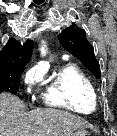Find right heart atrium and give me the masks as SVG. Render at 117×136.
Here are the masks:
<instances>
[{
	"label": "right heart atrium",
	"instance_id": "d8ad5b80",
	"mask_svg": "<svg viewBox=\"0 0 117 136\" xmlns=\"http://www.w3.org/2000/svg\"><path fill=\"white\" fill-rule=\"evenodd\" d=\"M42 78V72L38 68L29 70L25 76V83L28 87L36 85Z\"/></svg>",
	"mask_w": 117,
	"mask_h": 136
}]
</instances>
